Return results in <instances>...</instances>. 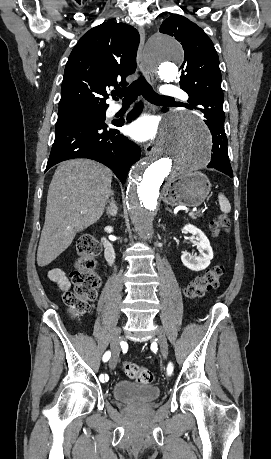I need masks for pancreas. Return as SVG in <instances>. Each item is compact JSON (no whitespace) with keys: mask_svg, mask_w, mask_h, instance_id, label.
I'll use <instances>...</instances> for the list:
<instances>
[{"mask_svg":"<svg viewBox=\"0 0 271 459\" xmlns=\"http://www.w3.org/2000/svg\"><path fill=\"white\" fill-rule=\"evenodd\" d=\"M193 220H196L195 216H192Z\"/></svg>","mask_w":271,"mask_h":459,"instance_id":"obj_1","label":"pancreas"}]
</instances>
